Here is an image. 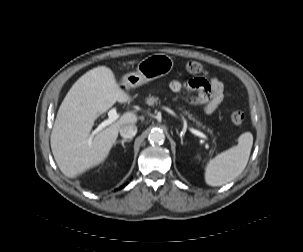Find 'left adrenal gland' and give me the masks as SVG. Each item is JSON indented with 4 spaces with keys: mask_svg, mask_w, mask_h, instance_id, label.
I'll use <instances>...</instances> for the list:
<instances>
[{
    "mask_svg": "<svg viewBox=\"0 0 303 252\" xmlns=\"http://www.w3.org/2000/svg\"><path fill=\"white\" fill-rule=\"evenodd\" d=\"M177 133H178V131H177ZM180 139H181V144L183 145V137H182V135H180Z\"/></svg>",
    "mask_w": 303,
    "mask_h": 252,
    "instance_id": "left-adrenal-gland-1",
    "label": "left adrenal gland"
}]
</instances>
